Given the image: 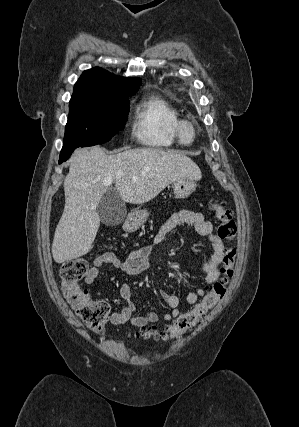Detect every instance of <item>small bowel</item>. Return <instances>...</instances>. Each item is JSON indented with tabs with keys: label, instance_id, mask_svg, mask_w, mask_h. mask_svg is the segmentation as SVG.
Instances as JSON below:
<instances>
[{
	"label": "small bowel",
	"instance_id": "obj_1",
	"mask_svg": "<svg viewBox=\"0 0 299 427\" xmlns=\"http://www.w3.org/2000/svg\"><path fill=\"white\" fill-rule=\"evenodd\" d=\"M190 225L196 232L206 236L211 244V252L208 259L203 264L202 270L205 274L207 285L215 283L220 277V265L225 255V248L220 237L214 232L212 223L207 220L201 212L192 210H181L170 216L159 228L154 236L152 245H143L133 249L124 260L119 259L112 252H105L97 256L93 261V266L89 269L85 277L86 284H92L102 273L104 265L109 264L115 270H122L127 275L134 276L146 272L152 266V254L156 246L163 243L166 237L178 226ZM205 294L203 288H197L187 295V302L195 304ZM162 299L171 308V311L162 315V320L169 322L178 317L181 313L179 309V298L166 291L160 293ZM120 296L124 301V307L119 312H113L109 320L114 325L131 323L137 328L147 327L156 323L159 316L155 312H150L145 316H136L135 304L132 300L131 286L123 283L120 287Z\"/></svg>",
	"mask_w": 299,
	"mask_h": 427
}]
</instances>
